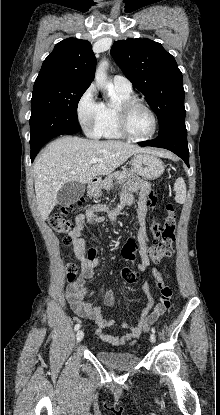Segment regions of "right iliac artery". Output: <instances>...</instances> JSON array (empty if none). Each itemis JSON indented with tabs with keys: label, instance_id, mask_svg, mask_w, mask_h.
Instances as JSON below:
<instances>
[{
	"label": "right iliac artery",
	"instance_id": "right-iliac-artery-1",
	"mask_svg": "<svg viewBox=\"0 0 220 415\" xmlns=\"http://www.w3.org/2000/svg\"><path fill=\"white\" fill-rule=\"evenodd\" d=\"M80 326H81V325H80L79 323H77V324L75 325V327H74V330H75V331H77V330L80 328Z\"/></svg>",
	"mask_w": 220,
	"mask_h": 415
}]
</instances>
